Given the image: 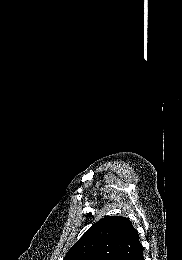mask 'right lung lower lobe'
<instances>
[{
  "label": "right lung lower lobe",
  "instance_id": "right-lung-lower-lobe-1",
  "mask_svg": "<svg viewBox=\"0 0 182 260\" xmlns=\"http://www.w3.org/2000/svg\"><path fill=\"white\" fill-rule=\"evenodd\" d=\"M132 260H144V258H143V250L140 251L138 254H136V255L132 258Z\"/></svg>",
  "mask_w": 182,
  "mask_h": 260
}]
</instances>
